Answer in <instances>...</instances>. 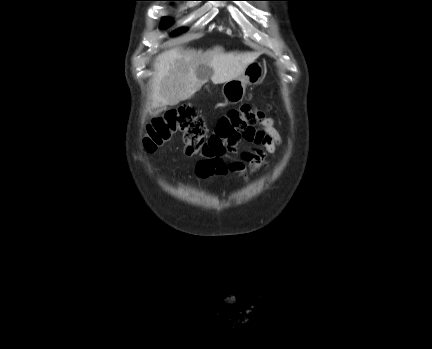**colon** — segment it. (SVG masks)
<instances>
[{"label":"colon","mask_w":432,"mask_h":349,"mask_svg":"<svg viewBox=\"0 0 432 349\" xmlns=\"http://www.w3.org/2000/svg\"><path fill=\"white\" fill-rule=\"evenodd\" d=\"M265 118L264 112L246 103L222 115L210 136L204 119L191 105L166 111L147 126L144 148L155 151L175 135H181L187 155H201L204 163L222 170L223 159L232 153L241 139L250 137L254 125Z\"/></svg>","instance_id":"obj_1"}]
</instances>
